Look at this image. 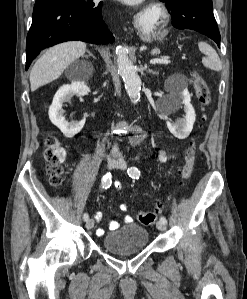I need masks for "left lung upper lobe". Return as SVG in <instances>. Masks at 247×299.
Masks as SVG:
<instances>
[{
  "label": "left lung upper lobe",
  "mask_w": 247,
  "mask_h": 299,
  "mask_svg": "<svg viewBox=\"0 0 247 299\" xmlns=\"http://www.w3.org/2000/svg\"><path fill=\"white\" fill-rule=\"evenodd\" d=\"M160 1L164 2V1H167V0H160Z\"/></svg>",
  "instance_id": "obj_1"
}]
</instances>
